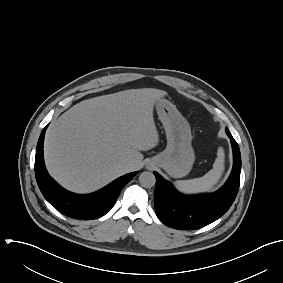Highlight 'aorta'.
Wrapping results in <instances>:
<instances>
[{"instance_id": "aorta-1", "label": "aorta", "mask_w": 283, "mask_h": 283, "mask_svg": "<svg viewBox=\"0 0 283 283\" xmlns=\"http://www.w3.org/2000/svg\"><path fill=\"white\" fill-rule=\"evenodd\" d=\"M140 185L144 188H151L156 183L155 175L152 172H142L139 176Z\"/></svg>"}]
</instances>
